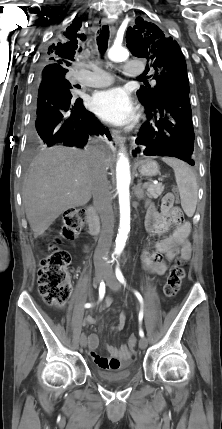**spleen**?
I'll return each mask as SVG.
<instances>
[{
	"label": "spleen",
	"instance_id": "3e777b00",
	"mask_svg": "<svg viewBox=\"0 0 222 429\" xmlns=\"http://www.w3.org/2000/svg\"><path fill=\"white\" fill-rule=\"evenodd\" d=\"M162 160L174 170L179 189L181 206L188 217H192L198 200V185L196 176L191 168L176 158L164 157Z\"/></svg>",
	"mask_w": 222,
	"mask_h": 429
}]
</instances>
